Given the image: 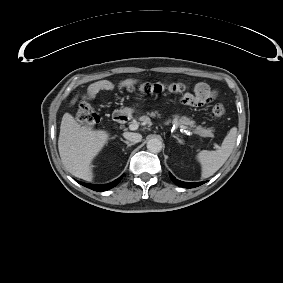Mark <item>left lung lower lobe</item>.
Segmentation results:
<instances>
[{"label": "left lung lower lobe", "instance_id": "obj_1", "mask_svg": "<svg viewBox=\"0 0 283 283\" xmlns=\"http://www.w3.org/2000/svg\"><path fill=\"white\" fill-rule=\"evenodd\" d=\"M171 179L173 180V182L175 184H177L178 186L184 187V188H192V187H197L205 182H196V183H189V182H184V181H180L178 179H176L171 173L169 174Z\"/></svg>", "mask_w": 283, "mask_h": 283}]
</instances>
